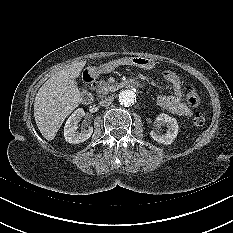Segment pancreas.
<instances>
[{"instance_id": "1", "label": "pancreas", "mask_w": 233, "mask_h": 233, "mask_svg": "<svg viewBox=\"0 0 233 233\" xmlns=\"http://www.w3.org/2000/svg\"><path fill=\"white\" fill-rule=\"evenodd\" d=\"M94 90L99 98H103L111 91V86L105 80H100Z\"/></svg>"}]
</instances>
